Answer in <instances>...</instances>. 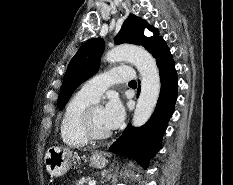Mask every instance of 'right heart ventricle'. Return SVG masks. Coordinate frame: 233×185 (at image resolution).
I'll use <instances>...</instances> for the list:
<instances>
[{
  "instance_id": "1",
  "label": "right heart ventricle",
  "mask_w": 233,
  "mask_h": 185,
  "mask_svg": "<svg viewBox=\"0 0 233 185\" xmlns=\"http://www.w3.org/2000/svg\"><path fill=\"white\" fill-rule=\"evenodd\" d=\"M94 101L78 92L67 103L60 121L62 141L69 147H83L88 143L81 128V116Z\"/></svg>"
}]
</instances>
